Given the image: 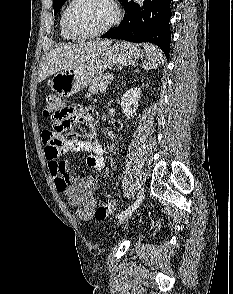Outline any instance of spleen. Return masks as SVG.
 <instances>
[{
    "mask_svg": "<svg viewBox=\"0 0 233 294\" xmlns=\"http://www.w3.org/2000/svg\"><path fill=\"white\" fill-rule=\"evenodd\" d=\"M143 48L146 52V59L143 63L145 70L156 69L163 62V55L155 45L144 43Z\"/></svg>",
    "mask_w": 233,
    "mask_h": 294,
    "instance_id": "spleen-1",
    "label": "spleen"
}]
</instances>
